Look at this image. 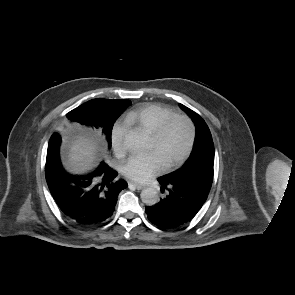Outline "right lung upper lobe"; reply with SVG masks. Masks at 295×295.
Returning <instances> with one entry per match:
<instances>
[{
    "label": "right lung upper lobe",
    "instance_id": "right-lung-upper-lobe-1",
    "mask_svg": "<svg viewBox=\"0 0 295 295\" xmlns=\"http://www.w3.org/2000/svg\"><path fill=\"white\" fill-rule=\"evenodd\" d=\"M93 100H99V99H93ZM107 100V99H106ZM108 101H114V100H108ZM71 112V111H70ZM70 112L67 114V117L71 120V121H73L71 118H70ZM85 125V124H84ZM87 126V125H86ZM56 135H57V133H55Z\"/></svg>",
    "mask_w": 295,
    "mask_h": 295
}]
</instances>
